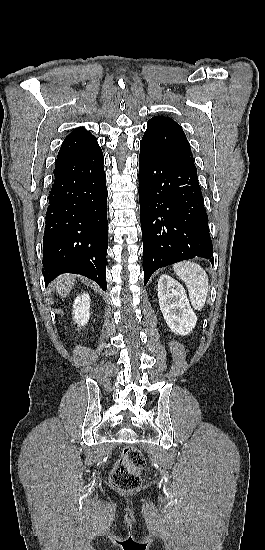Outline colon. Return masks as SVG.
<instances>
[{"mask_svg": "<svg viewBox=\"0 0 265 550\" xmlns=\"http://www.w3.org/2000/svg\"><path fill=\"white\" fill-rule=\"evenodd\" d=\"M145 458L142 452L133 446L123 449L120 458L115 462L111 474L110 484L121 491H130L141 485V471L145 467Z\"/></svg>", "mask_w": 265, "mask_h": 550, "instance_id": "1", "label": "colon"}]
</instances>
